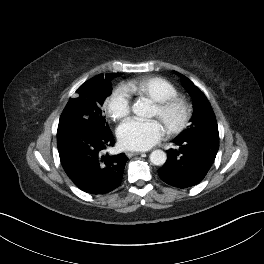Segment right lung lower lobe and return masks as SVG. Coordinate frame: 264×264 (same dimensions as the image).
I'll use <instances>...</instances> for the list:
<instances>
[{"instance_id":"1","label":"right lung lower lobe","mask_w":264,"mask_h":264,"mask_svg":"<svg viewBox=\"0 0 264 264\" xmlns=\"http://www.w3.org/2000/svg\"><path fill=\"white\" fill-rule=\"evenodd\" d=\"M115 140L110 130L89 124L57 138L61 164L73 183L89 194H105L122 180L127 157L112 155Z\"/></svg>"}]
</instances>
